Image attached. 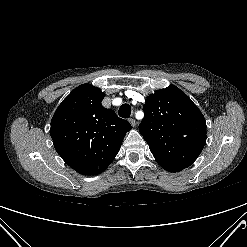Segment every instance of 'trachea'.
I'll return each instance as SVG.
<instances>
[{
    "label": "trachea",
    "instance_id": "trachea-1",
    "mask_svg": "<svg viewBox=\"0 0 247 247\" xmlns=\"http://www.w3.org/2000/svg\"><path fill=\"white\" fill-rule=\"evenodd\" d=\"M131 114V106L129 104H123L119 108V116L122 118H128Z\"/></svg>",
    "mask_w": 247,
    "mask_h": 247
}]
</instances>
